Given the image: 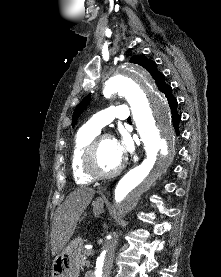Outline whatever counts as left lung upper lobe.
<instances>
[{"mask_svg": "<svg viewBox=\"0 0 221 277\" xmlns=\"http://www.w3.org/2000/svg\"><path fill=\"white\" fill-rule=\"evenodd\" d=\"M130 62L139 64L142 67H144L151 74V76L153 77V79L155 80V82L158 86V89L161 92H164V90L169 86L165 82V76L157 70L156 63L154 61L148 59L144 55H141V56L134 55L131 57ZM90 99H91V95L88 94L82 100V102L76 107V109L73 113V117H72V125L73 126L75 125L80 114L88 106Z\"/></svg>", "mask_w": 221, "mask_h": 277, "instance_id": "obj_1", "label": "left lung upper lobe"}]
</instances>
